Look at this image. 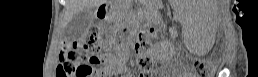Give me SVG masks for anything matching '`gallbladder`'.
Returning <instances> with one entry per match:
<instances>
[{
    "label": "gallbladder",
    "instance_id": "bac80fb5",
    "mask_svg": "<svg viewBox=\"0 0 258 77\" xmlns=\"http://www.w3.org/2000/svg\"><path fill=\"white\" fill-rule=\"evenodd\" d=\"M95 16V9H84L66 25L64 30L65 38L69 41H75L83 37Z\"/></svg>",
    "mask_w": 258,
    "mask_h": 77
}]
</instances>
